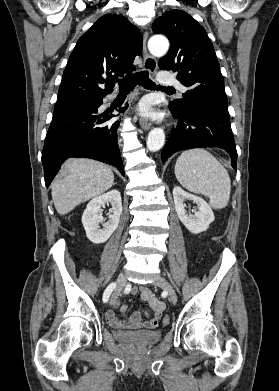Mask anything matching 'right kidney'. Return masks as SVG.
<instances>
[{
  "label": "right kidney",
  "instance_id": "right-kidney-1",
  "mask_svg": "<svg viewBox=\"0 0 279 391\" xmlns=\"http://www.w3.org/2000/svg\"><path fill=\"white\" fill-rule=\"evenodd\" d=\"M106 203L111 204L109 220L103 224L101 229L99 223L104 221L102 209ZM122 214V200L118 190H111L105 194L93 198L88 204L82 215V224L86 231L87 238L95 243L106 242L119 224Z\"/></svg>",
  "mask_w": 279,
  "mask_h": 391
}]
</instances>
